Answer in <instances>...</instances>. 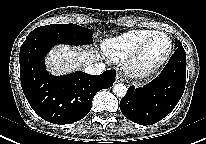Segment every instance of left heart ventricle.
Listing matches in <instances>:
<instances>
[{"label": "left heart ventricle", "instance_id": "left-heart-ventricle-1", "mask_svg": "<svg viewBox=\"0 0 206 144\" xmlns=\"http://www.w3.org/2000/svg\"><path fill=\"white\" fill-rule=\"evenodd\" d=\"M168 49L167 38L160 36L155 38L147 48L143 61L146 64H152L162 58Z\"/></svg>", "mask_w": 206, "mask_h": 144}]
</instances>
